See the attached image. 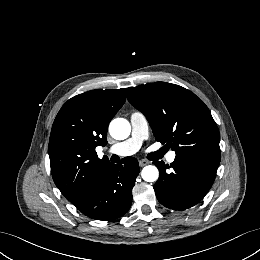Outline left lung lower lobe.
Returning <instances> with one entry per match:
<instances>
[{
  "mask_svg": "<svg viewBox=\"0 0 260 260\" xmlns=\"http://www.w3.org/2000/svg\"><path fill=\"white\" fill-rule=\"evenodd\" d=\"M160 176L154 185L157 198L164 206L184 210L197 204L212 186L219 162L194 156H179L167 174L163 162H154ZM168 168V165H166Z\"/></svg>",
  "mask_w": 260,
  "mask_h": 260,
  "instance_id": "1",
  "label": "left lung lower lobe"
}]
</instances>
